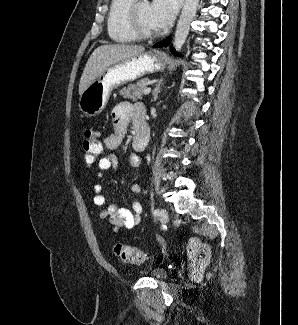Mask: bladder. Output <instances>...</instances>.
<instances>
[{"label":"bladder","instance_id":"1","mask_svg":"<svg viewBox=\"0 0 298 325\" xmlns=\"http://www.w3.org/2000/svg\"><path fill=\"white\" fill-rule=\"evenodd\" d=\"M149 275L156 280H165L168 277V273L164 269L156 268L149 272Z\"/></svg>","mask_w":298,"mask_h":325}]
</instances>
